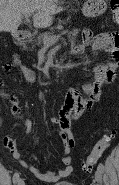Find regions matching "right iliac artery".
<instances>
[{
	"label": "right iliac artery",
	"instance_id": "82829eb1",
	"mask_svg": "<svg viewBox=\"0 0 119 185\" xmlns=\"http://www.w3.org/2000/svg\"><path fill=\"white\" fill-rule=\"evenodd\" d=\"M18 180H19V174L18 173H15L13 175V182L16 183V182H18Z\"/></svg>",
	"mask_w": 119,
	"mask_h": 185
}]
</instances>
